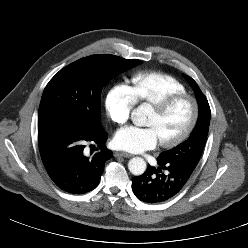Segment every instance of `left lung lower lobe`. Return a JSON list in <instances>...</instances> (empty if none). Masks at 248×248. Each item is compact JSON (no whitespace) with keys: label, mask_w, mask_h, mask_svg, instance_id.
Returning a JSON list of instances; mask_svg holds the SVG:
<instances>
[{"label":"left lung lower lobe","mask_w":248,"mask_h":248,"mask_svg":"<svg viewBox=\"0 0 248 248\" xmlns=\"http://www.w3.org/2000/svg\"><path fill=\"white\" fill-rule=\"evenodd\" d=\"M158 159V158H157ZM159 168L148 166L141 176L132 178V191L146 203L164 202L185 186L196 165L190 163L164 162L158 159ZM165 169L166 172H162Z\"/></svg>","instance_id":"obj_1"}]
</instances>
